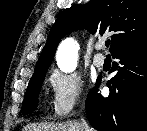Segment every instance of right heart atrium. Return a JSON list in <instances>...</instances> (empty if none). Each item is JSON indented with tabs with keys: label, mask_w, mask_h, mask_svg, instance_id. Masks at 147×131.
<instances>
[{
	"label": "right heart atrium",
	"mask_w": 147,
	"mask_h": 131,
	"mask_svg": "<svg viewBox=\"0 0 147 131\" xmlns=\"http://www.w3.org/2000/svg\"><path fill=\"white\" fill-rule=\"evenodd\" d=\"M48 81L52 90L53 113L58 118L67 117L81 104L83 80L75 73L53 70Z\"/></svg>",
	"instance_id": "d8ad5b80"
}]
</instances>
